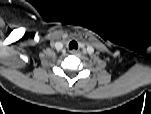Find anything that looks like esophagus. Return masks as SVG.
I'll list each match as a JSON object with an SVG mask.
<instances>
[{
    "mask_svg": "<svg viewBox=\"0 0 151 114\" xmlns=\"http://www.w3.org/2000/svg\"><path fill=\"white\" fill-rule=\"evenodd\" d=\"M70 53H71L72 55H79V54H80V51L74 49V50H71Z\"/></svg>",
    "mask_w": 151,
    "mask_h": 114,
    "instance_id": "obj_1",
    "label": "esophagus"
}]
</instances>
